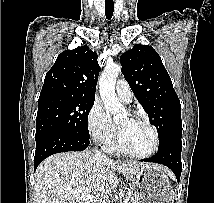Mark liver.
Masks as SVG:
<instances>
[{
	"mask_svg": "<svg viewBox=\"0 0 214 203\" xmlns=\"http://www.w3.org/2000/svg\"><path fill=\"white\" fill-rule=\"evenodd\" d=\"M144 163H118L97 157L93 152H63L45 159L35 173L37 203H82L72 190L87 188L101 203L119 184L115 172L132 181V174Z\"/></svg>",
	"mask_w": 214,
	"mask_h": 203,
	"instance_id": "1",
	"label": "liver"
}]
</instances>
